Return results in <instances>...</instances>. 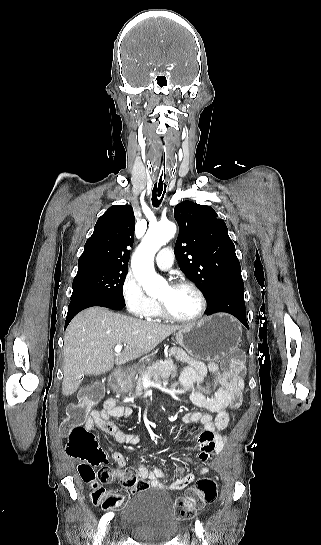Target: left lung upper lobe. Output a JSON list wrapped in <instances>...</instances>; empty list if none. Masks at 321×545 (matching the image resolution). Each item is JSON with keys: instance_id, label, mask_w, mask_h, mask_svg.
Here are the masks:
<instances>
[{"instance_id": "5c2ea615", "label": "left lung upper lobe", "mask_w": 321, "mask_h": 545, "mask_svg": "<svg viewBox=\"0 0 321 545\" xmlns=\"http://www.w3.org/2000/svg\"><path fill=\"white\" fill-rule=\"evenodd\" d=\"M174 216L180 227L176 241L180 269L206 298L220 284L242 277L226 224L212 207L183 201Z\"/></svg>"}]
</instances>
